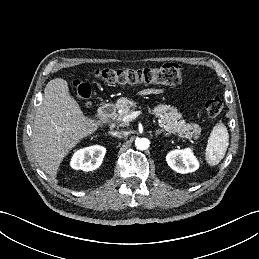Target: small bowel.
Returning <instances> with one entry per match:
<instances>
[{"label":"small bowel","mask_w":259,"mask_h":259,"mask_svg":"<svg viewBox=\"0 0 259 259\" xmlns=\"http://www.w3.org/2000/svg\"><path fill=\"white\" fill-rule=\"evenodd\" d=\"M160 91L159 90H148L145 92V94L147 93H159Z\"/></svg>","instance_id":"c3829d8e"}]
</instances>
